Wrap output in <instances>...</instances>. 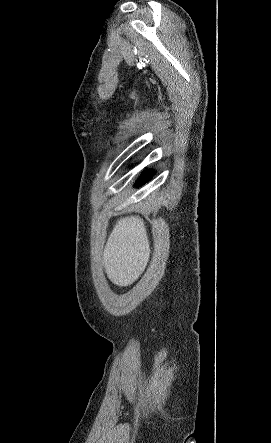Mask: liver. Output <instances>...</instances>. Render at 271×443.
Wrapping results in <instances>:
<instances>
[{
	"label": "liver",
	"instance_id": "6515ba94",
	"mask_svg": "<svg viewBox=\"0 0 271 443\" xmlns=\"http://www.w3.org/2000/svg\"><path fill=\"white\" fill-rule=\"evenodd\" d=\"M150 241L140 216L120 218L104 247L103 265L110 281L130 285L148 265Z\"/></svg>",
	"mask_w": 271,
	"mask_h": 443
}]
</instances>
